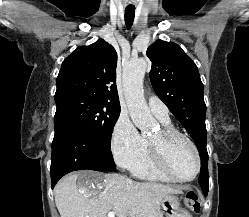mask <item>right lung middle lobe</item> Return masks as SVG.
Here are the masks:
<instances>
[{
	"label": "right lung middle lobe",
	"mask_w": 249,
	"mask_h": 217,
	"mask_svg": "<svg viewBox=\"0 0 249 217\" xmlns=\"http://www.w3.org/2000/svg\"><path fill=\"white\" fill-rule=\"evenodd\" d=\"M55 119H68L90 137L110 148L111 135L120 115V106L80 94L55 97Z\"/></svg>",
	"instance_id": "right-lung-middle-lobe-1"
}]
</instances>
